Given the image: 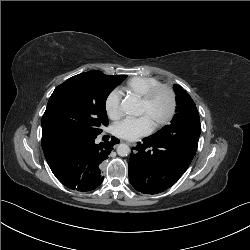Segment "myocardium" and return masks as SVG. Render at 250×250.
I'll use <instances>...</instances> for the list:
<instances>
[{"label": "myocardium", "mask_w": 250, "mask_h": 250, "mask_svg": "<svg viewBox=\"0 0 250 250\" xmlns=\"http://www.w3.org/2000/svg\"><path fill=\"white\" fill-rule=\"evenodd\" d=\"M160 92H165L167 94L169 98V110L162 119L153 124V127L155 129H159L168 125L174 118L177 110L176 93L171 86L166 84H160L151 88L143 96L140 97V100L143 104L149 105Z\"/></svg>", "instance_id": "obj_1"}]
</instances>
